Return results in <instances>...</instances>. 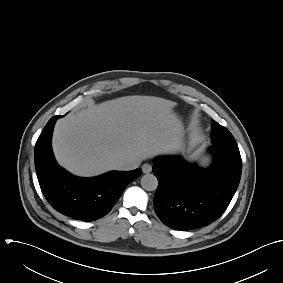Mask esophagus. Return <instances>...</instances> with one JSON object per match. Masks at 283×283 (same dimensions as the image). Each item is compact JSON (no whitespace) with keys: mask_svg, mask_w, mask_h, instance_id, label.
Wrapping results in <instances>:
<instances>
[{"mask_svg":"<svg viewBox=\"0 0 283 283\" xmlns=\"http://www.w3.org/2000/svg\"><path fill=\"white\" fill-rule=\"evenodd\" d=\"M141 168L143 173L145 174L150 173L152 171V165H150L149 163H144Z\"/></svg>","mask_w":283,"mask_h":283,"instance_id":"esophagus-1","label":"esophagus"}]
</instances>
